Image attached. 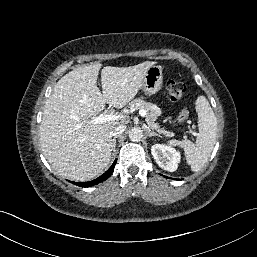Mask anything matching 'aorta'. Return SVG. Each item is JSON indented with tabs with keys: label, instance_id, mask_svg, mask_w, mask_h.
I'll use <instances>...</instances> for the list:
<instances>
[{
	"label": "aorta",
	"instance_id": "aorta-1",
	"mask_svg": "<svg viewBox=\"0 0 257 257\" xmlns=\"http://www.w3.org/2000/svg\"><path fill=\"white\" fill-rule=\"evenodd\" d=\"M143 137V131L140 127H134L129 132V139L133 142H138Z\"/></svg>",
	"mask_w": 257,
	"mask_h": 257
}]
</instances>
